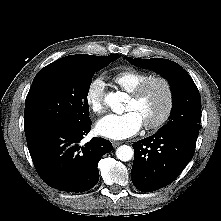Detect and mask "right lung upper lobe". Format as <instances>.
<instances>
[{
  "label": "right lung upper lobe",
  "instance_id": "obj_1",
  "mask_svg": "<svg viewBox=\"0 0 221 221\" xmlns=\"http://www.w3.org/2000/svg\"><path fill=\"white\" fill-rule=\"evenodd\" d=\"M90 55L87 54H78V55H70V56H66V57H70V58H84Z\"/></svg>",
  "mask_w": 221,
  "mask_h": 221
}]
</instances>
